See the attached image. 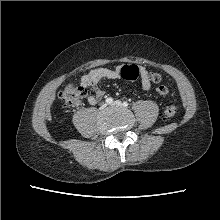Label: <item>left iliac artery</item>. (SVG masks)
<instances>
[{
    "label": "left iliac artery",
    "instance_id": "1",
    "mask_svg": "<svg viewBox=\"0 0 220 220\" xmlns=\"http://www.w3.org/2000/svg\"><path fill=\"white\" fill-rule=\"evenodd\" d=\"M123 106H124V107H127V106H128V102H126V101L123 102Z\"/></svg>",
    "mask_w": 220,
    "mask_h": 220
}]
</instances>
